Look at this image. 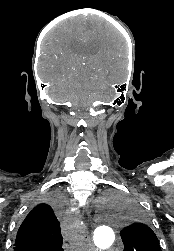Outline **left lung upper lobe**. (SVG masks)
Listing matches in <instances>:
<instances>
[{"instance_id": "1", "label": "left lung upper lobe", "mask_w": 174, "mask_h": 251, "mask_svg": "<svg viewBox=\"0 0 174 251\" xmlns=\"http://www.w3.org/2000/svg\"><path fill=\"white\" fill-rule=\"evenodd\" d=\"M133 224L121 231L124 251H162L146 219L136 208L131 209Z\"/></svg>"}]
</instances>
